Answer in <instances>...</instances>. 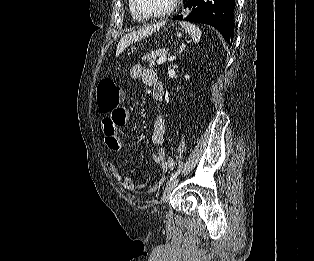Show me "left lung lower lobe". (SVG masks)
I'll return each instance as SVG.
<instances>
[{
  "label": "left lung lower lobe",
  "mask_w": 314,
  "mask_h": 261,
  "mask_svg": "<svg viewBox=\"0 0 314 261\" xmlns=\"http://www.w3.org/2000/svg\"><path fill=\"white\" fill-rule=\"evenodd\" d=\"M185 8H192L188 17L182 15L174 20L204 23L216 28L231 43L234 37L235 0H184Z\"/></svg>",
  "instance_id": "left-lung-lower-lobe-1"
}]
</instances>
